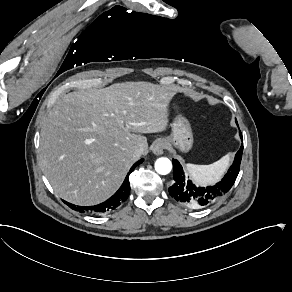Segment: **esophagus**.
Returning a JSON list of instances; mask_svg holds the SVG:
<instances>
[{
    "label": "esophagus",
    "instance_id": "1",
    "mask_svg": "<svg viewBox=\"0 0 292 292\" xmlns=\"http://www.w3.org/2000/svg\"><path fill=\"white\" fill-rule=\"evenodd\" d=\"M164 149H165V142L163 139H158L156 140L153 148H152V152L155 155H162L164 153Z\"/></svg>",
    "mask_w": 292,
    "mask_h": 292
}]
</instances>
